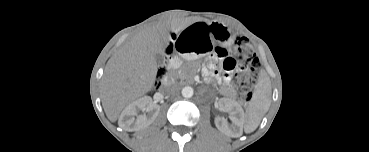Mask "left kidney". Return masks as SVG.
<instances>
[{"instance_id": "5707ae66", "label": "left kidney", "mask_w": 369, "mask_h": 152, "mask_svg": "<svg viewBox=\"0 0 369 152\" xmlns=\"http://www.w3.org/2000/svg\"><path fill=\"white\" fill-rule=\"evenodd\" d=\"M219 107L230 113L232 120L235 124L239 125L244 118V111L239 103L227 98H221L219 100Z\"/></svg>"}]
</instances>
